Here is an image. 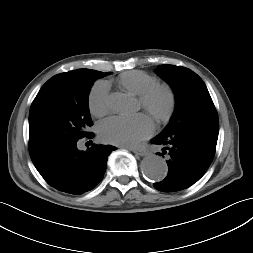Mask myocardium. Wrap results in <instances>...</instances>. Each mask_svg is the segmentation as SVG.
Listing matches in <instances>:
<instances>
[{"label": "myocardium", "mask_w": 253, "mask_h": 253, "mask_svg": "<svg viewBox=\"0 0 253 253\" xmlns=\"http://www.w3.org/2000/svg\"><path fill=\"white\" fill-rule=\"evenodd\" d=\"M159 95L166 97V106L163 111L154 110V101ZM141 107L149 112L159 123L168 122L177 106V96L175 90L168 84H155L139 96Z\"/></svg>", "instance_id": "1"}]
</instances>
